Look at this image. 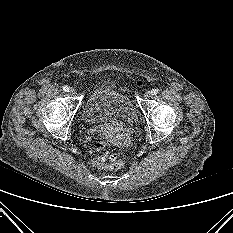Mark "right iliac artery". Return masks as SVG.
<instances>
[{"label": "right iliac artery", "mask_w": 233, "mask_h": 233, "mask_svg": "<svg viewBox=\"0 0 233 233\" xmlns=\"http://www.w3.org/2000/svg\"><path fill=\"white\" fill-rule=\"evenodd\" d=\"M63 90H64L65 92H69L70 89H69L68 86H64V87H63Z\"/></svg>", "instance_id": "right-iliac-artery-1"}]
</instances>
